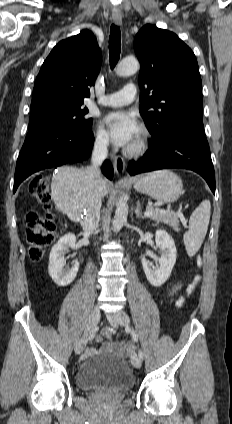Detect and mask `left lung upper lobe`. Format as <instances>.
Instances as JSON below:
<instances>
[{"label":"left lung upper lobe","instance_id":"obj_1","mask_svg":"<svg viewBox=\"0 0 232 424\" xmlns=\"http://www.w3.org/2000/svg\"><path fill=\"white\" fill-rule=\"evenodd\" d=\"M134 49L140 62L139 110L152 136L159 135L176 117L202 115L198 63L192 50L176 34L145 25L135 37Z\"/></svg>","mask_w":232,"mask_h":424}]
</instances>
